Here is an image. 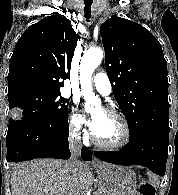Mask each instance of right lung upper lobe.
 Returning a JSON list of instances; mask_svg holds the SVG:
<instances>
[{
    "label": "right lung upper lobe",
    "mask_w": 178,
    "mask_h": 195,
    "mask_svg": "<svg viewBox=\"0 0 178 195\" xmlns=\"http://www.w3.org/2000/svg\"><path fill=\"white\" fill-rule=\"evenodd\" d=\"M78 35L59 13L31 25L10 59L8 96L30 89L59 90L70 77Z\"/></svg>",
    "instance_id": "1"
}]
</instances>
